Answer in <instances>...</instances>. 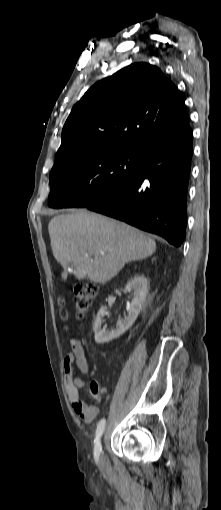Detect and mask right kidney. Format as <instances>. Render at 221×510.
<instances>
[{
    "label": "right kidney",
    "mask_w": 221,
    "mask_h": 510,
    "mask_svg": "<svg viewBox=\"0 0 221 510\" xmlns=\"http://www.w3.org/2000/svg\"><path fill=\"white\" fill-rule=\"evenodd\" d=\"M126 291L133 292L132 301L128 309V315L117 322L116 329L106 330L102 328L103 318L107 315L106 307H101L97 313L93 330L95 333V342L97 344L107 343L121 336L128 330L137 319L148 293L147 279L143 275H136L128 281Z\"/></svg>",
    "instance_id": "1"
}]
</instances>
